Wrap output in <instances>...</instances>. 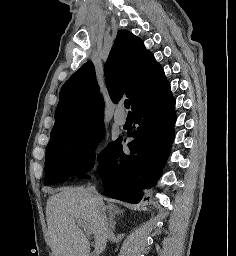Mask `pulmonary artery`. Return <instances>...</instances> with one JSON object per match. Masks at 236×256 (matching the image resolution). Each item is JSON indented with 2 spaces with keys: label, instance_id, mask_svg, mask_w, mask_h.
Listing matches in <instances>:
<instances>
[{
  "label": "pulmonary artery",
  "instance_id": "pulmonary-artery-1",
  "mask_svg": "<svg viewBox=\"0 0 236 256\" xmlns=\"http://www.w3.org/2000/svg\"><path fill=\"white\" fill-rule=\"evenodd\" d=\"M114 121H115V123L117 124V125H124L125 124V122H126V120H120V119H118L117 117H115L114 118Z\"/></svg>",
  "mask_w": 236,
  "mask_h": 256
}]
</instances>
